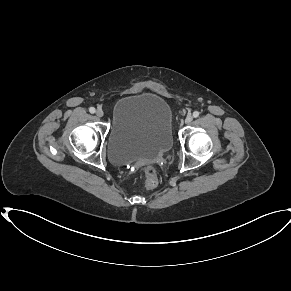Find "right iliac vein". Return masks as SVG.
I'll list each match as a JSON object with an SVG mask.
<instances>
[{
  "instance_id": "right-iliac-vein-1",
  "label": "right iliac vein",
  "mask_w": 291,
  "mask_h": 291,
  "mask_svg": "<svg viewBox=\"0 0 291 291\" xmlns=\"http://www.w3.org/2000/svg\"><path fill=\"white\" fill-rule=\"evenodd\" d=\"M96 115L98 116V117H102L103 115H104V112H103V110L102 109H97L96 110Z\"/></svg>"
}]
</instances>
